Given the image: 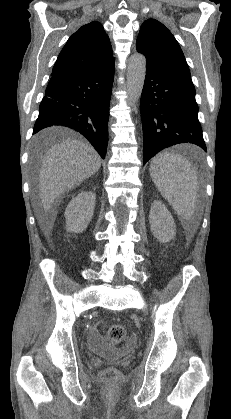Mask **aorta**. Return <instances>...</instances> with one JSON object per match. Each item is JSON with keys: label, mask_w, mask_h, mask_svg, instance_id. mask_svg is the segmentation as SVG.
<instances>
[{"label": "aorta", "mask_w": 231, "mask_h": 419, "mask_svg": "<svg viewBox=\"0 0 231 419\" xmlns=\"http://www.w3.org/2000/svg\"><path fill=\"white\" fill-rule=\"evenodd\" d=\"M146 73V58L135 53L128 60L127 66V95L130 105H135L142 93Z\"/></svg>", "instance_id": "762f6f07"}]
</instances>
